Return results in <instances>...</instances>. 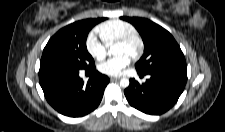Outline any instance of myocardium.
I'll use <instances>...</instances> for the list:
<instances>
[{
  "mask_svg": "<svg viewBox=\"0 0 225 132\" xmlns=\"http://www.w3.org/2000/svg\"><path fill=\"white\" fill-rule=\"evenodd\" d=\"M115 44H121V45H133V44H135L136 50L131 55V57L133 59H139L144 53V48H145L144 41L137 33L130 34V35H127L125 37H122L121 39L116 41Z\"/></svg>",
  "mask_w": 225,
  "mask_h": 132,
  "instance_id": "myocardium-1",
  "label": "myocardium"
}]
</instances>
